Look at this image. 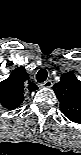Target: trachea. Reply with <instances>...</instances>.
<instances>
[{
    "instance_id": "obj_1",
    "label": "trachea",
    "mask_w": 81,
    "mask_h": 155,
    "mask_svg": "<svg viewBox=\"0 0 81 155\" xmlns=\"http://www.w3.org/2000/svg\"><path fill=\"white\" fill-rule=\"evenodd\" d=\"M48 77V73L45 69H40L36 75V79L39 83L44 82Z\"/></svg>"
}]
</instances>
